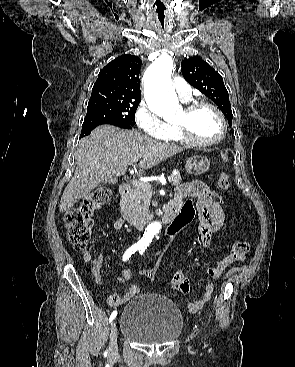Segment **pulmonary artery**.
<instances>
[{"label":"pulmonary artery","mask_w":295,"mask_h":367,"mask_svg":"<svg viewBox=\"0 0 295 367\" xmlns=\"http://www.w3.org/2000/svg\"><path fill=\"white\" fill-rule=\"evenodd\" d=\"M173 84L178 96L183 101H188L191 98V87L183 78L175 77Z\"/></svg>","instance_id":"obj_1"}]
</instances>
